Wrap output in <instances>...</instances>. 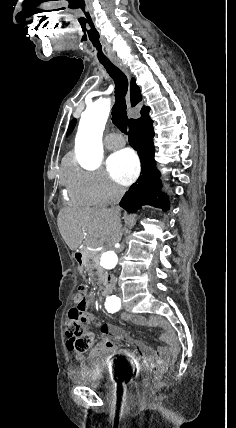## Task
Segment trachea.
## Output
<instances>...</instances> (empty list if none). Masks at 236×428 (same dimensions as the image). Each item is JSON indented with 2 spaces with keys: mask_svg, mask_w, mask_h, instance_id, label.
I'll use <instances>...</instances> for the list:
<instances>
[{
  "mask_svg": "<svg viewBox=\"0 0 236 428\" xmlns=\"http://www.w3.org/2000/svg\"><path fill=\"white\" fill-rule=\"evenodd\" d=\"M86 22H83L81 28L90 35L89 44L95 52V58L98 64H102L113 78L115 83V103L112 108L113 123L123 132L126 133L128 116L126 111L125 95L128 90V79L120 68L110 62L109 52L105 51L103 46H100L102 35L92 20L91 14L85 15Z\"/></svg>",
  "mask_w": 236,
  "mask_h": 428,
  "instance_id": "3493384b",
  "label": "trachea"
}]
</instances>
